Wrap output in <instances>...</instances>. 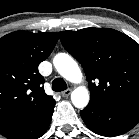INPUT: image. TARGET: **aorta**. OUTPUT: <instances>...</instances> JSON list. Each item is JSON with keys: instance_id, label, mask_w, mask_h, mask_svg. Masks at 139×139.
Listing matches in <instances>:
<instances>
[{"instance_id": "762f6f07", "label": "aorta", "mask_w": 139, "mask_h": 139, "mask_svg": "<svg viewBox=\"0 0 139 139\" xmlns=\"http://www.w3.org/2000/svg\"><path fill=\"white\" fill-rule=\"evenodd\" d=\"M53 64L58 73L69 82L78 84L82 81V73L78 64L68 54H57L53 59ZM89 99V92L84 86L75 88L71 93V101L76 108H85L89 103Z\"/></svg>"}]
</instances>
